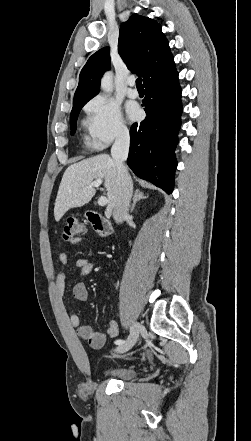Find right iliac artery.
<instances>
[{
    "mask_svg": "<svg viewBox=\"0 0 251 441\" xmlns=\"http://www.w3.org/2000/svg\"><path fill=\"white\" fill-rule=\"evenodd\" d=\"M124 342H125V341L122 340V339H118V340L115 341V343H116L117 345H122Z\"/></svg>",
    "mask_w": 251,
    "mask_h": 441,
    "instance_id": "obj_1",
    "label": "right iliac artery"
}]
</instances>
